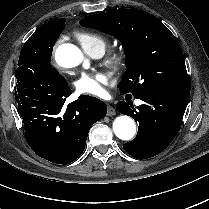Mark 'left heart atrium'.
Returning <instances> with one entry per match:
<instances>
[{
  "instance_id": "1",
  "label": "left heart atrium",
  "mask_w": 209,
  "mask_h": 209,
  "mask_svg": "<svg viewBox=\"0 0 209 209\" xmlns=\"http://www.w3.org/2000/svg\"><path fill=\"white\" fill-rule=\"evenodd\" d=\"M105 83L101 75L84 73L76 80L75 88L80 95L102 98L106 94L103 86Z\"/></svg>"
}]
</instances>
